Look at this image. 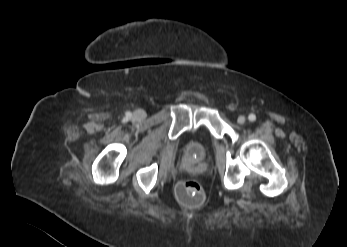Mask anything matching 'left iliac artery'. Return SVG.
I'll use <instances>...</instances> for the list:
<instances>
[{
  "label": "left iliac artery",
  "mask_w": 347,
  "mask_h": 247,
  "mask_svg": "<svg viewBox=\"0 0 347 247\" xmlns=\"http://www.w3.org/2000/svg\"><path fill=\"white\" fill-rule=\"evenodd\" d=\"M248 119H249L250 122H254V121L256 120L255 114H250V115L248 116Z\"/></svg>",
  "instance_id": "obj_1"
}]
</instances>
